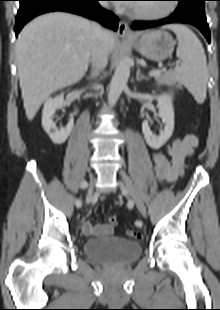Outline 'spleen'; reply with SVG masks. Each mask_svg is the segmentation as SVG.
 Listing matches in <instances>:
<instances>
[{
  "label": "spleen",
  "instance_id": "obj_1",
  "mask_svg": "<svg viewBox=\"0 0 220 310\" xmlns=\"http://www.w3.org/2000/svg\"><path fill=\"white\" fill-rule=\"evenodd\" d=\"M165 28L172 30L178 40L176 55L180 65L174 69L176 79L202 104L206 98L208 68L206 55L198 37L185 25L170 24Z\"/></svg>",
  "mask_w": 220,
  "mask_h": 310
}]
</instances>
